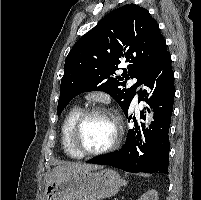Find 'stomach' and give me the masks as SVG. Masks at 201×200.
<instances>
[{
    "instance_id": "stomach-1",
    "label": "stomach",
    "mask_w": 201,
    "mask_h": 200,
    "mask_svg": "<svg viewBox=\"0 0 201 200\" xmlns=\"http://www.w3.org/2000/svg\"><path fill=\"white\" fill-rule=\"evenodd\" d=\"M121 185L122 179L112 169L83 171L49 184L42 200H101L115 195Z\"/></svg>"
}]
</instances>
